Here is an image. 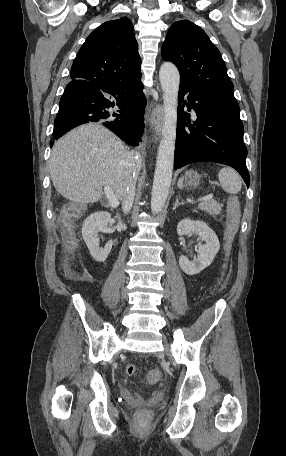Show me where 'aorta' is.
Segmentation results:
<instances>
[{"label": "aorta", "instance_id": "762f6f07", "mask_svg": "<svg viewBox=\"0 0 286 456\" xmlns=\"http://www.w3.org/2000/svg\"><path fill=\"white\" fill-rule=\"evenodd\" d=\"M164 93V125L160 141L151 194V211L158 214L164 207L172 181L177 125L180 74L171 62H164L159 71Z\"/></svg>", "mask_w": 286, "mask_h": 456}]
</instances>
